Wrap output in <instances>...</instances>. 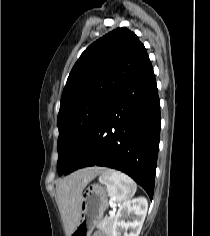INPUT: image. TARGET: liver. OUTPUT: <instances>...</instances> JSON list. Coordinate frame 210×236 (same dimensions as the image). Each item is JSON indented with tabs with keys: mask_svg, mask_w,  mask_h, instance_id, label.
Segmentation results:
<instances>
[{
	"mask_svg": "<svg viewBox=\"0 0 210 236\" xmlns=\"http://www.w3.org/2000/svg\"><path fill=\"white\" fill-rule=\"evenodd\" d=\"M104 170L102 167L81 169L57 182V200L67 236L72 234L77 225L84 188Z\"/></svg>",
	"mask_w": 210,
	"mask_h": 236,
	"instance_id": "obj_1",
	"label": "liver"
}]
</instances>
